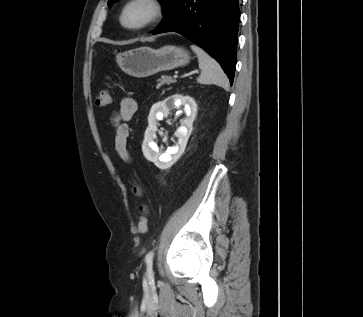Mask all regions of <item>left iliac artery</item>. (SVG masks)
Segmentation results:
<instances>
[{"label":"left iliac artery","instance_id":"1","mask_svg":"<svg viewBox=\"0 0 363 317\" xmlns=\"http://www.w3.org/2000/svg\"><path fill=\"white\" fill-rule=\"evenodd\" d=\"M153 258H154V251L152 250L147 253L145 258V262L147 264V272L150 278H153V271H152Z\"/></svg>","mask_w":363,"mask_h":317}]
</instances>
